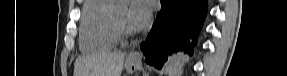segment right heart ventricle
Listing matches in <instances>:
<instances>
[{
	"mask_svg": "<svg viewBox=\"0 0 287 76\" xmlns=\"http://www.w3.org/2000/svg\"><path fill=\"white\" fill-rule=\"evenodd\" d=\"M110 0H87L82 8L80 48L85 52L112 49L119 40L111 20Z\"/></svg>",
	"mask_w": 287,
	"mask_h": 76,
	"instance_id": "1",
	"label": "right heart ventricle"
}]
</instances>
